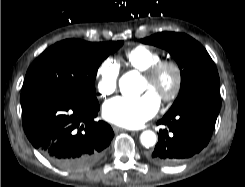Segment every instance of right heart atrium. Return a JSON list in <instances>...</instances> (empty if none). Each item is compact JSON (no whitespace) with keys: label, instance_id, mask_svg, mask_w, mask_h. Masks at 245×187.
<instances>
[{"label":"right heart atrium","instance_id":"1","mask_svg":"<svg viewBox=\"0 0 245 187\" xmlns=\"http://www.w3.org/2000/svg\"><path fill=\"white\" fill-rule=\"evenodd\" d=\"M119 67L112 58H106L97 70L96 92L100 98L112 95L117 89Z\"/></svg>","mask_w":245,"mask_h":187}]
</instances>
